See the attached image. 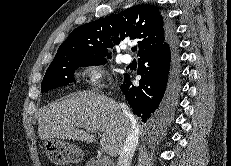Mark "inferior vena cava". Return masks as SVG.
<instances>
[{"instance_id":"inferior-vena-cava-1","label":"inferior vena cava","mask_w":231,"mask_h":166,"mask_svg":"<svg viewBox=\"0 0 231 166\" xmlns=\"http://www.w3.org/2000/svg\"><path fill=\"white\" fill-rule=\"evenodd\" d=\"M119 105L123 112V115H125V117L131 123V130L123 143V146H122V149L119 154L118 161H117V166H130L133 155H134V151L138 144V129H137L136 120L133 114L131 113V111L129 110V108L127 107V105L123 103H120Z\"/></svg>"}]
</instances>
